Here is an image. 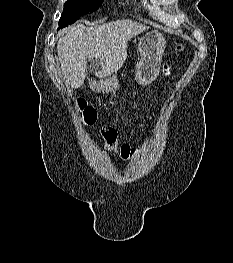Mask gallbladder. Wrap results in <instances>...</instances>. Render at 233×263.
Returning <instances> with one entry per match:
<instances>
[{
  "mask_svg": "<svg viewBox=\"0 0 233 263\" xmlns=\"http://www.w3.org/2000/svg\"><path fill=\"white\" fill-rule=\"evenodd\" d=\"M86 70L91 71V72L94 71V68L92 66V62L91 61L88 62L87 66H86Z\"/></svg>",
  "mask_w": 233,
  "mask_h": 263,
  "instance_id": "bac80fb5",
  "label": "gallbladder"
}]
</instances>
